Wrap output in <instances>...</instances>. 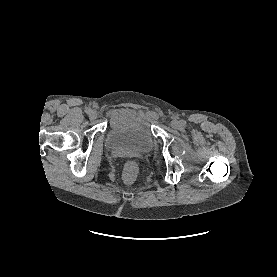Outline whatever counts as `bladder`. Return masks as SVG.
<instances>
[{
    "instance_id": "bladder-1",
    "label": "bladder",
    "mask_w": 277,
    "mask_h": 277,
    "mask_svg": "<svg viewBox=\"0 0 277 277\" xmlns=\"http://www.w3.org/2000/svg\"><path fill=\"white\" fill-rule=\"evenodd\" d=\"M153 119L143 110L119 108L108 117L106 145L113 152H149L154 146Z\"/></svg>"
}]
</instances>
